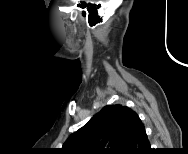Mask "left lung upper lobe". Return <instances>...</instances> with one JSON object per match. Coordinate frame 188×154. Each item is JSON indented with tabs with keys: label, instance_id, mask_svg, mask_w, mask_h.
<instances>
[{
	"label": "left lung upper lobe",
	"instance_id": "1",
	"mask_svg": "<svg viewBox=\"0 0 188 154\" xmlns=\"http://www.w3.org/2000/svg\"><path fill=\"white\" fill-rule=\"evenodd\" d=\"M135 112L123 105H107L63 144L67 154H125Z\"/></svg>",
	"mask_w": 188,
	"mask_h": 154
}]
</instances>
